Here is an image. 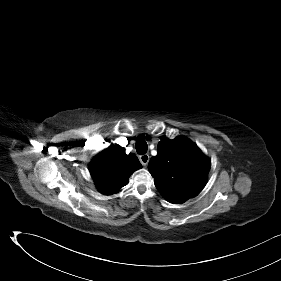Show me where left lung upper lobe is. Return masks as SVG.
I'll return each mask as SVG.
<instances>
[{"label": "left lung upper lobe", "instance_id": "1", "mask_svg": "<svg viewBox=\"0 0 281 281\" xmlns=\"http://www.w3.org/2000/svg\"><path fill=\"white\" fill-rule=\"evenodd\" d=\"M210 167V160L197 145L183 136L161 139L158 154L148 164L155 186L174 204L184 203L201 192Z\"/></svg>", "mask_w": 281, "mask_h": 281}]
</instances>
